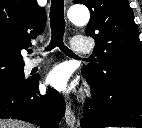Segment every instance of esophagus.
Masks as SVG:
<instances>
[{
    "instance_id": "obj_1",
    "label": "esophagus",
    "mask_w": 142,
    "mask_h": 128,
    "mask_svg": "<svg viewBox=\"0 0 142 128\" xmlns=\"http://www.w3.org/2000/svg\"><path fill=\"white\" fill-rule=\"evenodd\" d=\"M65 121L67 125L70 126L71 128H75L77 126L76 116L73 110L71 109L70 102H67V105H66Z\"/></svg>"
}]
</instances>
